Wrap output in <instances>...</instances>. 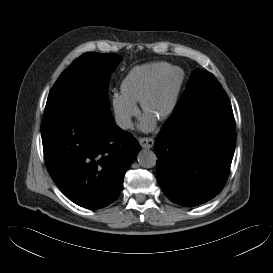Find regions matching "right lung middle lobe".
I'll use <instances>...</instances> for the list:
<instances>
[{"label":"right lung middle lobe","mask_w":273,"mask_h":273,"mask_svg":"<svg viewBox=\"0 0 273 273\" xmlns=\"http://www.w3.org/2000/svg\"><path fill=\"white\" fill-rule=\"evenodd\" d=\"M121 59L112 53H85L77 58L51 88L44 115L58 106L74 103H95L109 108L108 84Z\"/></svg>","instance_id":"dd1d6c3e"}]
</instances>
